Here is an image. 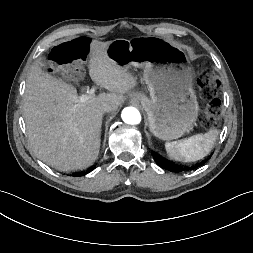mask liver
<instances>
[{"label": "liver", "instance_id": "6515ba94", "mask_svg": "<svg viewBox=\"0 0 253 253\" xmlns=\"http://www.w3.org/2000/svg\"><path fill=\"white\" fill-rule=\"evenodd\" d=\"M111 42L91 41L88 69L92 81L110 91L85 103L78 101L71 84L45 73L36 63L28 74L23 103L27 135L34 154L59 170H78L91 166L98 158L101 142L103 103L114 106L123 94L137 85L126 67L109 58Z\"/></svg>", "mask_w": 253, "mask_h": 253}]
</instances>
